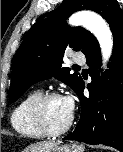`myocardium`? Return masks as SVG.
Segmentation results:
<instances>
[{
  "label": "myocardium",
  "mask_w": 123,
  "mask_h": 152,
  "mask_svg": "<svg viewBox=\"0 0 123 152\" xmlns=\"http://www.w3.org/2000/svg\"><path fill=\"white\" fill-rule=\"evenodd\" d=\"M57 98H63V96L57 92H50L43 94L35 103L33 108V120L37 128L44 134V136L55 137L64 134L72 126L74 116L71 114L68 122L59 129H52L47 121L46 108L48 103Z\"/></svg>",
  "instance_id": "myocardium-1"
}]
</instances>
